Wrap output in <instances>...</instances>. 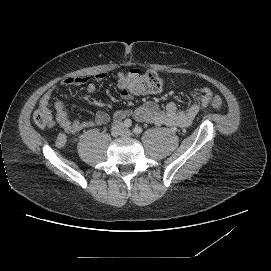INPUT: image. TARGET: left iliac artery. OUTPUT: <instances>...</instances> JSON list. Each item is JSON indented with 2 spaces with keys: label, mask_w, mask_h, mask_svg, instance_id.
<instances>
[{
  "label": "left iliac artery",
  "mask_w": 271,
  "mask_h": 271,
  "mask_svg": "<svg viewBox=\"0 0 271 271\" xmlns=\"http://www.w3.org/2000/svg\"><path fill=\"white\" fill-rule=\"evenodd\" d=\"M142 131H143V129H142L141 127H139V126H136V127L133 128V132H134L136 135L141 134Z\"/></svg>",
  "instance_id": "1"
}]
</instances>
